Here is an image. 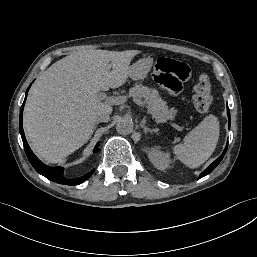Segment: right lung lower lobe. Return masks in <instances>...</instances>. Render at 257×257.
I'll return each instance as SVG.
<instances>
[{
  "instance_id": "98d812e1",
  "label": "right lung lower lobe",
  "mask_w": 257,
  "mask_h": 257,
  "mask_svg": "<svg viewBox=\"0 0 257 257\" xmlns=\"http://www.w3.org/2000/svg\"><path fill=\"white\" fill-rule=\"evenodd\" d=\"M31 86V85H30ZM30 86L28 87L27 91H26V95H25V100L21 106V110H20V119H19V127H20V134L22 137V141H23V145H24V149L26 152V155L31 163V165L34 167V169L41 175H43L44 177L48 178L51 181L57 182L59 184H64V185H78L80 183H83L84 181H86L94 172V170H92L90 173L79 177V178H73V179H68L65 178L63 176V168L62 167H50L45 165L44 163H42L31 151L25 135H24V131H23V125H22V121H23V108H24V104L27 98V93L28 90L30 88ZM99 151V143L96 144L95 148H94V152H98Z\"/></svg>"
}]
</instances>
